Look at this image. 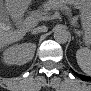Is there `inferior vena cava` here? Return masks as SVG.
Instances as JSON below:
<instances>
[{
	"instance_id": "inferior-vena-cava-1",
	"label": "inferior vena cava",
	"mask_w": 91,
	"mask_h": 91,
	"mask_svg": "<svg viewBox=\"0 0 91 91\" xmlns=\"http://www.w3.org/2000/svg\"><path fill=\"white\" fill-rule=\"evenodd\" d=\"M48 29L46 26H40V27H36L34 29H32L31 31L33 33H40V32H46Z\"/></svg>"
}]
</instances>
